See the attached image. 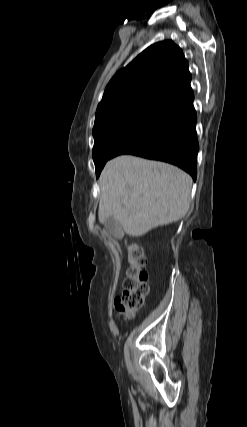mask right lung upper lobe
I'll return each instance as SVG.
<instances>
[{
	"instance_id": "cb5924a9",
	"label": "right lung upper lobe",
	"mask_w": 247,
	"mask_h": 427,
	"mask_svg": "<svg viewBox=\"0 0 247 427\" xmlns=\"http://www.w3.org/2000/svg\"><path fill=\"white\" fill-rule=\"evenodd\" d=\"M188 62L171 40L155 43L119 70L108 83L96 118L130 107H151L191 88Z\"/></svg>"
}]
</instances>
